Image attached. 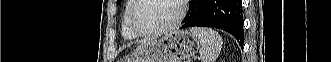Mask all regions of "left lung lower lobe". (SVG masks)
<instances>
[{
  "mask_svg": "<svg viewBox=\"0 0 331 62\" xmlns=\"http://www.w3.org/2000/svg\"><path fill=\"white\" fill-rule=\"evenodd\" d=\"M190 13L181 28L201 26L219 28L232 34L243 47L242 0H191Z\"/></svg>",
  "mask_w": 331,
  "mask_h": 62,
  "instance_id": "1",
  "label": "left lung lower lobe"
}]
</instances>
